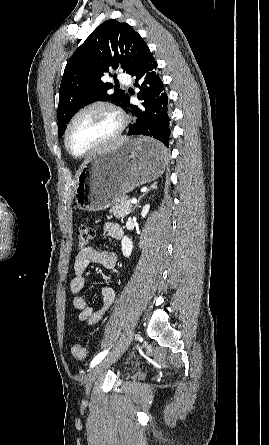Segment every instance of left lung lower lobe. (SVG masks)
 <instances>
[{
	"instance_id": "0a47b994",
	"label": "left lung lower lobe",
	"mask_w": 269,
	"mask_h": 445,
	"mask_svg": "<svg viewBox=\"0 0 269 445\" xmlns=\"http://www.w3.org/2000/svg\"><path fill=\"white\" fill-rule=\"evenodd\" d=\"M135 78L136 86H140L138 99L142 106L130 104L127 94L124 101L132 114L136 117L127 135H145L153 138L154 143L146 148L150 154L166 153L170 140V108L168 97L162 79L157 73V62L149 48L143 53L141 59L129 73Z\"/></svg>"
}]
</instances>
